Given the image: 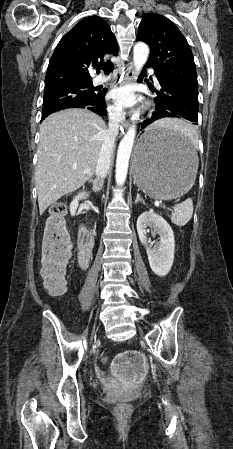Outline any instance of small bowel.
I'll list each match as a JSON object with an SVG mask.
<instances>
[{
  "label": "small bowel",
  "mask_w": 233,
  "mask_h": 449,
  "mask_svg": "<svg viewBox=\"0 0 233 449\" xmlns=\"http://www.w3.org/2000/svg\"><path fill=\"white\" fill-rule=\"evenodd\" d=\"M116 363H109L108 377H120L121 384L116 391L118 394H128L133 384H138V377L143 376L144 363L147 361L145 354H139L138 347H127L126 354H116Z\"/></svg>",
  "instance_id": "c3829d8e"
}]
</instances>
